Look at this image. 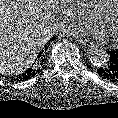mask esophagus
<instances>
[{"mask_svg": "<svg viewBox=\"0 0 118 118\" xmlns=\"http://www.w3.org/2000/svg\"><path fill=\"white\" fill-rule=\"evenodd\" d=\"M78 41L80 44L84 45L85 47H92L94 45V43L89 39L79 38Z\"/></svg>", "mask_w": 118, "mask_h": 118, "instance_id": "34e87169", "label": "esophagus"}]
</instances>
